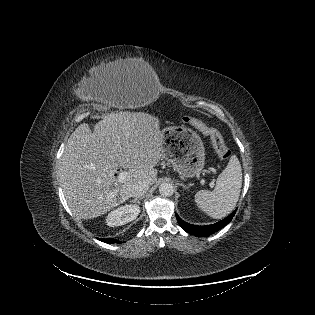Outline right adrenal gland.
I'll list each match as a JSON object with an SVG mask.
<instances>
[{
	"label": "right adrenal gland",
	"instance_id": "obj_1",
	"mask_svg": "<svg viewBox=\"0 0 315 315\" xmlns=\"http://www.w3.org/2000/svg\"><path fill=\"white\" fill-rule=\"evenodd\" d=\"M141 199H143V197L135 198V199L132 200V202H133V203H138V204H140V200H141Z\"/></svg>",
	"mask_w": 315,
	"mask_h": 315
}]
</instances>
